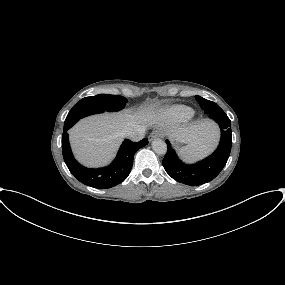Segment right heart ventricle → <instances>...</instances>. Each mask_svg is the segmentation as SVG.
<instances>
[{
  "mask_svg": "<svg viewBox=\"0 0 285 285\" xmlns=\"http://www.w3.org/2000/svg\"><path fill=\"white\" fill-rule=\"evenodd\" d=\"M193 115V110L184 105H174L166 109L161 117L168 123H182L187 121Z\"/></svg>",
  "mask_w": 285,
  "mask_h": 285,
  "instance_id": "right-heart-ventricle-1",
  "label": "right heart ventricle"
}]
</instances>
